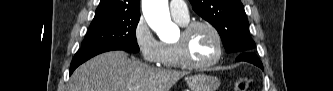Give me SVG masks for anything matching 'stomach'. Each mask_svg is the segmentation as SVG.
<instances>
[{
  "instance_id": "stomach-1",
  "label": "stomach",
  "mask_w": 333,
  "mask_h": 91,
  "mask_svg": "<svg viewBox=\"0 0 333 91\" xmlns=\"http://www.w3.org/2000/svg\"><path fill=\"white\" fill-rule=\"evenodd\" d=\"M190 91H216L220 86V80L211 75L198 74L187 78Z\"/></svg>"
}]
</instances>
